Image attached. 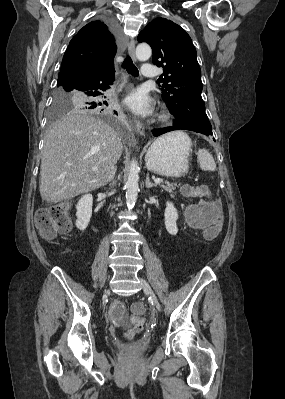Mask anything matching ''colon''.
Instances as JSON below:
<instances>
[{
    "label": "colon",
    "instance_id": "1",
    "mask_svg": "<svg viewBox=\"0 0 285 399\" xmlns=\"http://www.w3.org/2000/svg\"><path fill=\"white\" fill-rule=\"evenodd\" d=\"M207 192L208 188L204 185H185L181 188L182 195L189 198H202ZM209 209L218 212L216 205L209 206ZM34 225L45 237H54L59 233H64L71 225L70 209L66 205H56L39 209L34 216ZM222 226V219L217 217L215 222L205 229L203 233L205 239L217 237ZM132 313L138 319V325L132 329V332L137 333L144 323V320L141 318L144 313L143 305L140 303L134 305Z\"/></svg>",
    "mask_w": 285,
    "mask_h": 399
}]
</instances>
